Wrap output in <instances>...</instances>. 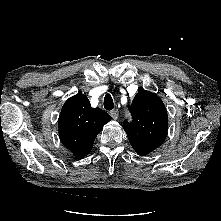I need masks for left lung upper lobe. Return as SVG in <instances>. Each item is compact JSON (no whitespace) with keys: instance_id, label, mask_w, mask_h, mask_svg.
Returning <instances> with one entry per match:
<instances>
[{"instance_id":"obj_1","label":"left lung upper lobe","mask_w":221,"mask_h":221,"mask_svg":"<svg viewBox=\"0 0 221 221\" xmlns=\"http://www.w3.org/2000/svg\"><path fill=\"white\" fill-rule=\"evenodd\" d=\"M133 122L124 121L123 128L133 149L146 156L159 147L168 131V115L161 99L149 91H139L131 105Z\"/></svg>"}]
</instances>
